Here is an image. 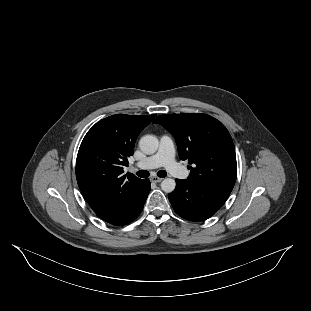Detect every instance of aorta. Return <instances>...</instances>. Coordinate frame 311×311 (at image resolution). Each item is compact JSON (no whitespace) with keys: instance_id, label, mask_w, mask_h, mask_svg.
Returning a JSON list of instances; mask_svg holds the SVG:
<instances>
[{"instance_id":"obj_1","label":"aorta","mask_w":311,"mask_h":311,"mask_svg":"<svg viewBox=\"0 0 311 311\" xmlns=\"http://www.w3.org/2000/svg\"><path fill=\"white\" fill-rule=\"evenodd\" d=\"M159 147V142L156 136L148 134L144 135L139 140L140 150L147 155L154 154ZM176 181L172 178H166L161 182V188L163 191L170 193L175 190Z\"/></svg>"}]
</instances>
